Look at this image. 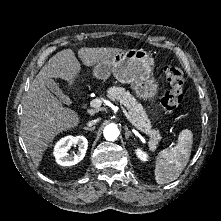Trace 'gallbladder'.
<instances>
[{"instance_id":"gallbladder-1","label":"gallbladder","mask_w":221,"mask_h":221,"mask_svg":"<svg viewBox=\"0 0 221 221\" xmlns=\"http://www.w3.org/2000/svg\"><path fill=\"white\" fill-rule=\"evenodd\" d=\"M46 87L54 93L62 102L66 104H70L71 101L68 96L64 95L61 89L59 88L58 84L53 79H48L45 82Z\"/></svg>"}]
</instances>
